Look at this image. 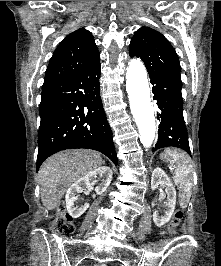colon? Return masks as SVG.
<instances>
[{
  "mask_svg": "<svg viewBox=\"0 0 221 266\" xmlns=\"http://www.w3.org/2000/svg\"><path fill=\"white\" fill-rule=\"evenodd\" d=\"M182 212L176 211L172 220L170 221L168 225L169 232H174L176 228L179 226L182 220ZM54 228L57 233L67 235L74 232V224L72 221V218L65 212L64 206L61 205L59 207L58 215L55 218L54 221Z\"/></svg>",
  "mask_w": 221,
  "mask_h": 266,
  "instance_id": "1",
  "label": "colon"
}]
</instances>
